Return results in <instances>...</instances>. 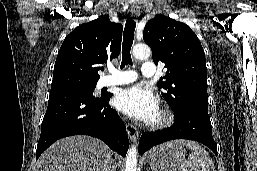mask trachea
Masks as SVG:
<instances>
[{"mask_svg": "<svg viewBox=\"0 0 257 171\" xmlns=\"http://www.w3.org/2000/svg\"><path fill=\"white\" fill-rule=\"evenodd\" d=\"M135 27L136 22L131 17L127 18L123 33L121 68H124L125 65L132 64L130 51L134 40Z\"/></svg>", "mask_w": 257, "mask_h": 171, "instance_id": "trachea-1", "label": "trachea"}]
</instances>
